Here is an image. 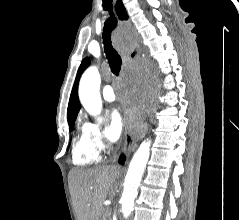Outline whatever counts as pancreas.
I'll return each mask as SVG.
<instances>
[{"label": "pancreas", "instance_id": "obj_1", "mask_svg": "<svg viewBox=\"0 0 239 220\" xmlns=\"http://www.w3.org/2000/svg\"><path fill=\"white\" fill-rule=\"evenodd\" d=\"M105 217H107V214H105ZM105 220H107V219H105Z\"/></svg>", "mask_w": 239, "mask_h": 220}]
</instances>
